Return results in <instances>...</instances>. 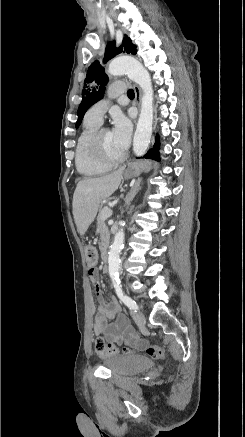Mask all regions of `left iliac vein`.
<instances>
[{
    "label": "left iliac vein",
    "mask_w": 245,
    "mask_h": 437,
    "mask_svg": "<svg viewBox=\"0 0 245 437\" xmlns=\"http://www.w3.org/2000/svg\"><path fill=\"white\" fill-rule=\"evenodd\" d=\"M131 315H132L134 321H135L139 326H142V325L145 324L146 319H145V317H144V315H143L142 313H140V312H138V311H135V310H132V311H131Z\"/></svg>",
    "instance_id": "left-iliac-vein-1"
}]
</instances>
